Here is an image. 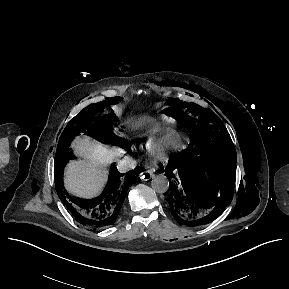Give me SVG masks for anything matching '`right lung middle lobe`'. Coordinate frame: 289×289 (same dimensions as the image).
<instances>
[{
	"label": "right lung middle lobe",
	"mask_w": 289,
	"mask_h": 289,
	"mask_svg": "<svg viewBox=\"0 0 289 289\" xmlns=\"http://www.w3.org/2000/svg\"><path fill=\"white\" fill-rule=\"evenodd\" d=\"M121 99L120 97H114L100 103L89 105L72 118L59 139L56 155L68 152L72 138L80 133L93 137L102 143L109 141L112 138V114L100 115V113L103 112L108 105ZM61 161L62 159H59V164H61ZM66 163L67 161L64 164ZM56 170H59V167L56 169L55 164L54 171L56 172Z\"/></svg>",
	"instance_id": "obj_1"
}]
</instances>
